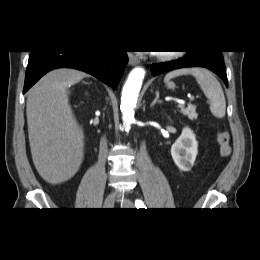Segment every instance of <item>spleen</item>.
<instances>
[{"instance_id": "1", "label": "spleen", "mask_w": 260, "mask_h": 260, "mask_svg": "<svg viewBox=\"0 0 260 260\" xmlns=\"http://www.w3.org/2000/svg\"><path fill=\"white\" fill-rule=\"evenodd\" d=\"M187 74H191L196 78L203 93L209 99L211 113L217 118H223L226 113L224 93L218 80L208 70L202 68L178 69L168 73L164 81L168 82L174 77Z\"/></svg>"}]
</instances>
